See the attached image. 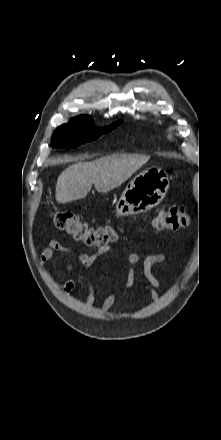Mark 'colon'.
Returning a JSON list of instances; mask_svg holds the SVG:
<instances>
[{
    "label": "colon",
    "mask_w": 221,
    "mask_h": 440,
    "mask_svg": "<svg viewBox=\"0 0 221 440\" xmlns=\"http://www.w3.org/2000/svg\"><path fill=\"white\" fill-rule=\"evenodd\" d=\"M52 220L60 231L92 248H105L116 242L121 234L116 226L92 227L68 212H54ZM188 222L189 217L183 207H170L159 211L153 220V227L162 231H178L186 227Z\"/></svg>",
    "instance_id": "1"
}]
</instances>
